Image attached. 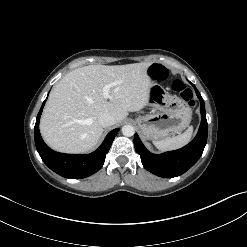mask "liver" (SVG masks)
Masks as SVG:
<instances>
[{
    "instance_id": "obj_1",
    "label": "liver",
    "mask_w": 247,
    "mask_h": 247,
    "mask_svg": "<svg viewBox=\"0 0 247 247\" xmlns=\"http://www.w3.org/2000/svg\"><path fill=\"white\" fill-rule=\"evenodd\" d=\"M150 63L126 65H89L66 74L54 87L45 105L40 132L54 150L86 153L93 150L102 134L98 123L102 113H110L119 123L128 112L143 109L153 84L147 69ZM110 97H103V87Z\"/></svg>"
}]
</instances>
